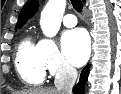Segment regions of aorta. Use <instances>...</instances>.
<instances>
[{
    "label": "aorta",
    "mask_w": 121,
    "mask_h": 94,
    "mask_svg": "<svg viewBox=\"0 0 121 94\" xmlns=\"http://www.w3.org/2000/svg\"><path fill=\"white\" fill-rule=\"evenodd\" d=\"M66 0H49L41 13L40 26L46 37L55 36L61 26Z\"/></svg>",
    "instance_id": "obj_1"
}]
</instances>
